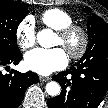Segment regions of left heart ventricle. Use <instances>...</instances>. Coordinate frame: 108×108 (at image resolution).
Returning a JSON list of instances; mask_svg holds the SVG:
<instances>
[{
    "mask_svg": "<svg viewBox=\"0 0 108 108\" xmlns=\"http://www.w3.org/2000/svg\"><path fill=\"white\" fill-rule=\"evenodd\" d=\"M79 44V39L77 37L75 38H72L69 42V46L72 47V48H75L77 47ZM55 45H61L62 46V41L61 39L59 38V36L56 37V40H55Z\"/></svg>",
    "mask_w": 108,
    "mask_h": 108,
    "instance_id": "1",
    "label": "left heart ventricle"
}]
</instances>
